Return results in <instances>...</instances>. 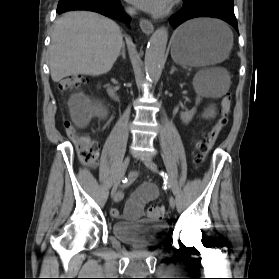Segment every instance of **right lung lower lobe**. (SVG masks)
Instances as JSON below:
<instances>
[{
    "label": "right lung lower lobe",
    "mask_w": 279,
    "mask_h": 279,
    "mask_svg": "<svg viewBox=\"0 0 279 279\" xmlns=\"http://www.w3.org/2000/svg\"><path fill=\"white\" fill-rule=\"evenodd\" d=\"M71 10H89L121 20L127 19L119 0H59L58 14Z\"/></svg>",
    "instance_id": "1"
}]
</instances>
